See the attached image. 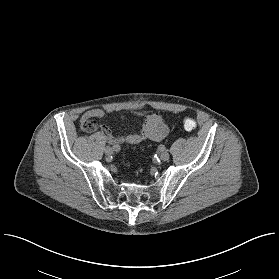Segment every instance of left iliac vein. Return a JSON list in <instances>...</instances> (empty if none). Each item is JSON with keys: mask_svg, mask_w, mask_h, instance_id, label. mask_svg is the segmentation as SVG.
I'll list each match as a JSON object with an SVG mask.
<instances>
[{"mask_svg": "<svg viewBox=\"0 0 279 279\" xmlns=\"http://www.w3.org/2000/svg\"><path fill=\"white\" fill-rule=\"evenodd\" d=\"M169 157H170V154H169V152H168L167 150L161 152V154H160V159H161L162 161L168 160Z\"/></svg>", "mask_w": 279, "mask_h": 279, "instance_id": "1", "label": "left iliac vein"}]
</instances>
